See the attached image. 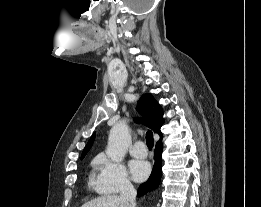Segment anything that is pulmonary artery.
<instances>
[{"label": "pulmonary artery", "instance_id": "pulmonary-artery-1", "mask_svg": "<svg viewBox=\"0 0 261 207\" xmlns=\"http://www.w3.org/2000/svg\"><path fill=\"white\" fill-rule=\"evenodd\" d=\"M132 156L137 158H144L147 156V149L144 142L138 140L136 141L130 149Z\"/></svg>", "mask_w": 261, "mask_h": 207}]
</instances>
